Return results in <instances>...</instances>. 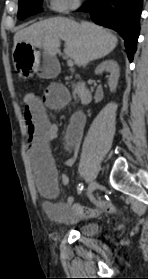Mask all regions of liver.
Returning a JSON list of instances; mask_svg holds the SVG:
<instances>
[{
	"label": "liver",
	"instance_id": "1",
	"mask_svg": "<svg viewBox=\"0 0 148 279\" xmlns=\"http://www.w3.org/2000/svg\"><path fill=\"white\" fill-rule=\"evenodd\" d=\"M60 40L65 41L64 53L78 66L112 52L118 39L110 31L90 22L77 23L71 19L55 17L34 23L14 35V45L24 42L55 57Z\"/></svg>",
	"mask_w": 148,
	"mask_h": 279
}]
</instances>
